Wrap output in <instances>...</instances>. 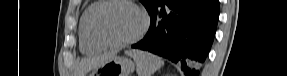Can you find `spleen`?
<instances>
[{
    "label": "spleen",
    "instance_id": "1",
    "mask_svg": "<svg viewBox=\"0 0 287 76\" xmlns=\"http://www.w3.org/2000/svg\"><path fill=\"white\" fill-rule=\"evenodd\" d=\"M126 54L136 62L138 76H152L164 65V61L152 53L141 50H129Z\"/></svg>",
    "mask_w": 287,
    "mask_h": 76
}]
</instances>
